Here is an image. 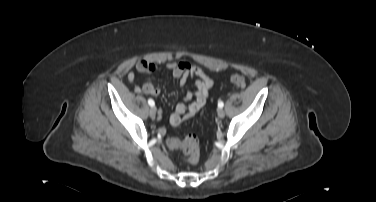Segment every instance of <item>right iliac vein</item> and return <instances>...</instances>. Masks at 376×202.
<instances>
[{
  "instance_id": "obj_1",
  "label": "right iliac vein",
  "mask_w": 376,
  "mask_h": 202,
  "mask_svg": "<svg viewBox=\"0 0 376 202\" xmlns=\"http://www.w3.org/2000/svg\"><path fill=\"white\" fill-rule=\"evenodd\" d=\"M149 115L151 118H155V115H156V109L154 107H151L149 109Z\"/></svg>"
}]
</instances>
